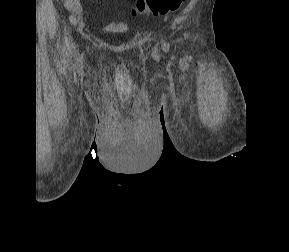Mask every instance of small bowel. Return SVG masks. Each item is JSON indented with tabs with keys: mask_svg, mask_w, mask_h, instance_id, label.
Listing matches in <instances>:
<instances>
[{
	"mask_svg": "<svg viewBox=\"0 0 289 252\" xmlns=\"http://www.w3.org/2000/svg\"><path fill=\"white\" fill-rule=\"evenodd\" d=\"M66 9L74 14H79L83 11L81 0H64Z\"/></svg>",
	"mask_w": 289,
	"mask_h": 252,
	"instance_id": "1",
	"label": "small bowel"
}]
</instances>
